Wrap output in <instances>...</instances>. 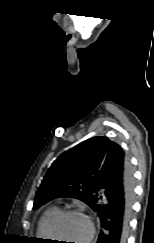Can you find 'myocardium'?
<instances>
[{
  "instance_id": "1",
  "label": "myocardium",
  "mask_w": 154,
  "mask_h": 243,
  "mask_svg": "<svg viewBox=\"0 0 154 243\" xmlns=\"http://www.w3.org/2000/svg\"><path fill=\"white\" fill-rule=\"evenodd\" d=\"M71 215L81 216V217H83L87 221V224H88V232H87V235H86L83 243H90L91 240L93 239L94 233H95V226H94L93 220L85 212H83L82 210H78V209H64V210L58 211L52 217V219L50 220V222L48 224V236H49V238L55 237L53 235V231H54V228H55L56 224L62 218L66 217V216H71Z\"/></svg>"
}]
</instances>
